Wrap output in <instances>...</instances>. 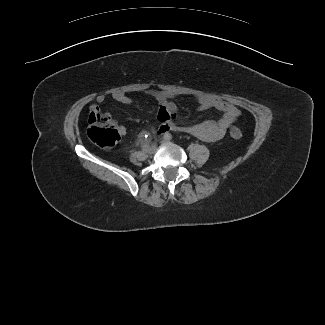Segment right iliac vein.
<instances>
[{
  "instance_id": "right-iliac-vein-1",
  "label": "right iliac vein",
  "mask_w": 325,
  "mask_h": 325,
  "mask_svg": "<svg viewBox=\"0 0 325 325\" xmlns=\"http://www.w3.org/2000/svg\"><path fill=\"white\" fill-rule=\"evenodd\" d=\"M156 146H150L149 148H148V150H147V152H148V154H154L155 152H156Z\"/></svg>"
}]
</instances>
